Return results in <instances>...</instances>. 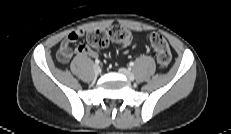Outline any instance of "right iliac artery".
I'll list each match as a JSON object with an SVG mask.
<instances>
[{"instance_id": "1", "label": "right iliac artery", "mask_w": 231, "mask_h": 134, "mask_svg": "<svg viewBox=\"0 0 231 134\" xmlns=\"http://www.w3.org/2000/svg\"><path fill=\"white\" fill-rule=\"evenodd\" d=\"M95 63H96V64H99V63H100V61H99L98 59H96V60H95Z\"/></svg>"}]
</instances>
